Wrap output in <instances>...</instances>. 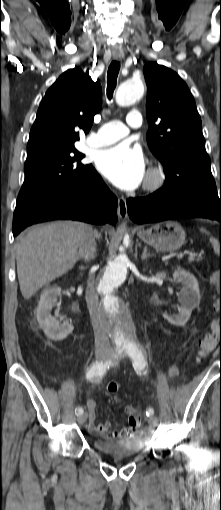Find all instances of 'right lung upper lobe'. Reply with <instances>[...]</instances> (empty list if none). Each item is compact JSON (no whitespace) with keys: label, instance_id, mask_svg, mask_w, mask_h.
<instances>
[{"label":"right lung upper lobe","instance_id":"right-lung-upper-lobe-1","mask_svg":"<svg viewBox=\"0 0 221 510\" xmlns=\"http://www.w3.org/2000/svg\"><path fill=\"white\" fill-rule=\"evenodd\" d=\"M102 103V91L80 68L64 72L46 92L30 131L27 154L74 146L80 129L88 133Z\"/></svg>","mask_w":221,"mask_h":510}]
</instances>
